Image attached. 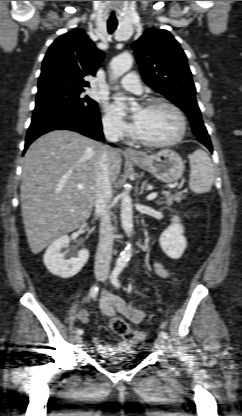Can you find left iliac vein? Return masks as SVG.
<instances>
[{"mask_svg": "<svg viewBox=\"0 0 242 416\" xmlns=\"http://www.w3.org/2000/svg\"><path fill=\"white\" fill-rule=\"evenodd\" d=\"M106 279V273L104 275H102L101 280L104 281ZM155 346L158 349H164L165 348V340L162 336H158L155 340Z\"/></svg>", "mask_w": 242, "mask_h": 416, "instance_id": "1", "label": "left iliac vein"}]
</instances>
